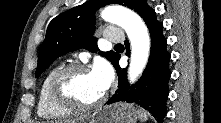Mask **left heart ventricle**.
<instances>
[{
  "mask_svg": "<svg viewBox=\"0 0 221 123\" xmlns=\"http://www.w3.org/2000/svg\"><path fill=\"white\" fill-rule=\"evenodd\" d=\"M65 89L71 97L86 104L97 101L104 93L91 71L72 74L66 81Z\"/></svg>",
  "mask_w": 221,
  "mask_h": 123,
  "instance_id": "left-heart-ventricle-1",
  "label": "left heart ventricle"
}]
</instances>
